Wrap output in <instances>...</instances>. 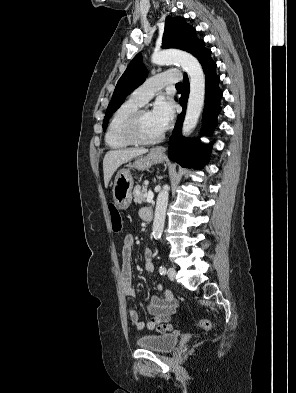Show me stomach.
Segmentation results:
<instances>
[{
  "label": "stomach",
  "mask_w": 296,
  "mask_h": 393,
  "mask_svg": "<svg viewBox=\"0 0 296 393\" xmlns=\"http://www.w3.org/2000/svg\"><path fill=\"white\" fill-rule=\"evenodd\" d=\"M164 155L151 151L146 156H140L135 159L130 167L138 170L149 169L152 165L162 163ZM134 181L129 169H120L114 179L112 193L116 206L119 209H127L132 201V189Z\"/></svg>",
  "instance_id": "1"
}]
</instances>
